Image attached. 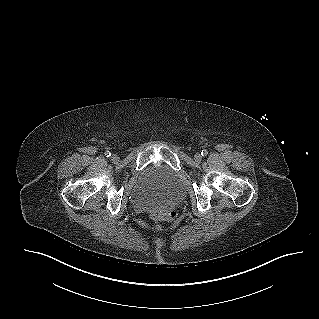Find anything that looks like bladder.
<instances>
[{
	"label": "bladder",
	"mask_w": 319,
	"mask_h": 319,
	"mask_svg": "<svg viewBox=\"0 0 319 319\" xmlns=\"http://www.w3.org/2000/svg\"><path fill=\"white\" fill-rule=\"evenodd\" d=\"M182 194L183 187L177 173L157 163L141 172L130 199L137 207L156 208L178 201Z\"/></svg>",
	"instance_id": "1"
}]
</instances>
